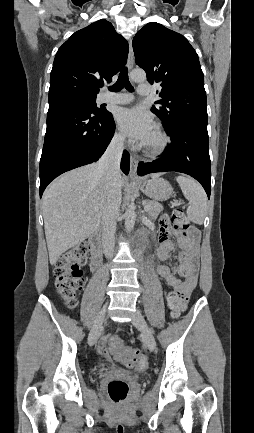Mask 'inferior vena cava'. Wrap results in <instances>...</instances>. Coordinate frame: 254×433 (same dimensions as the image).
Returning <instances> with one entry per match:
<instances>
[{
  "mask_svg": "<svg viewBox=\"0 0 254 433\" xmlns=\"http://www.w3.org/2000/svg\"><path fill=\"white\" fill-rule=\"evenodd\" d=\"M124 136L116 135L98 162V169L104 172L108 185V198L102 216V245L104 254H114L116 221L121 204L120 162L124 149Z\"/></svg>",
  "mask_w": 254,
  "mask_h": 433,
  "instance_id": "602c4592",
  "label": "inferior vena cava"
}]
</instances>
